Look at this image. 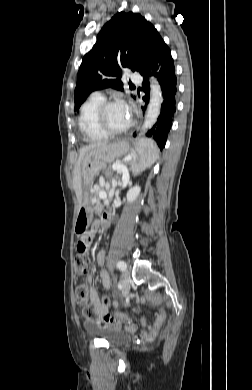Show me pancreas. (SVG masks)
Here are the masks:
<instances>
[{
    "mask_svg": "<svg viewBox=\"0 0 252 390\" xmlns=\"http://www.w3.org/2000/svg\"><path fill=\"white\" fill-rule=\"evenodd\" d=\"M90 200L94 206V210H95L94 216L101 217L104 212L103 205L101 204V202H93L92 197H90Z\"/></svg>",
    "mask_w": 252,
    "mask_h": 390,
    "instance_id": "1",
    "label": "pancreas"
}]
</instances>
